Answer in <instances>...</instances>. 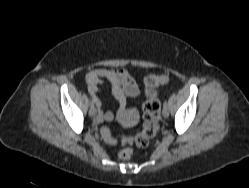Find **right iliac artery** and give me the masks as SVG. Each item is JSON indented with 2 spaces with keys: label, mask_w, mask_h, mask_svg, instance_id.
<instances>
[{
  "label": "right iliac artery",
  "mask_w": 249,
  "mask_h": 188,
  "mask_svg": "<svg viewBox=\"0 0 249 188\" xmlns=\"http://www.w3.org/2000/svg\"><path fill=\"white\" fill-rule=\"evenodd\" d=\"M96 98L95 97H92V100L90 102V106L93 107L94 106V103L96 102Z\"/></svg>",
  "instance_id": "obj_1"
}]
</instances>
